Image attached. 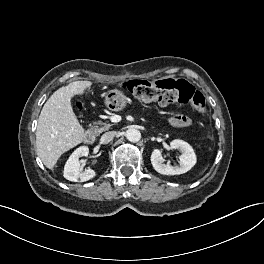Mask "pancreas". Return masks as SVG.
<instances>
[{
  "instance_id": "cf45deb5",
  "label": "pancreas",
  "mask_w": 264,
  "mask_h": 264,
  "mask_svg": "<svg viewBox=\"0 0 264 264\" xmlns=\"http://www.w3.org/2000/svg\"><path fill=\"white\" fill-rule=\"evenodd\" d=\"M113 126V124L105 122H94V126L92 128L93 132L97 135L101 134L104 131L109 130L111 127Z\"/></svg>"
}]
</instances>
